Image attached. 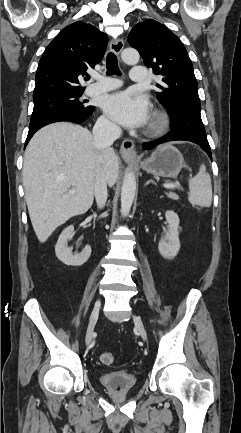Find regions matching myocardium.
<instances>
[{"mask_svg":"<svg viewBox=\"0 0 241 433\" xmlns=\"http://www.w3.org/2000/svg\"><path fill=\"white\" fill-rule=\"evenodd\" d=\"M168 117L161 112H155L148 127V133L151 135H160L168 127Z\"/></svg>","mask_w":241,"mask_h":433,"instance_id":"obj_1","label":"myocardium"}]
</instances>
